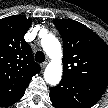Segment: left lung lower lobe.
Segmentation results:
<instances>
[{
  "label": "left lung lower lobe",
  "mask_w": 108,
  "mask_h": 108,
  "mask_svg": "<svg viewBox=\"0 0 108 108\" xmlns=\"http://www.w3.org/2000/svg\"><path fill=\"white\" fill-rule=\"evenodd\" d=\"M106 86L62 78L50 89V100L56 108H91L101 98Z\"/></svg>",
  "instance_id": "left-lung-lower-lobe-1"
}]
</instances>
